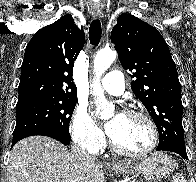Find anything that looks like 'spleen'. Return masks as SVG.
Wrapping results in <instances>:
<instances>
[{"mask_svg": "<svg viewBox=\"0 0 196 182\" xmlns=\"http://www.w3.org/2000/svg\"><path fill=\"white\" fill-rule=\"evenodd\" d=\"M174 182H187V181L185 180V178L183 176H181V177H178L177 179H175Z\"/></svg>", "mask_w": 196, "mask_h": 182, "instance_id": "3e777b00", "label": "spleen"}]
</instances>
